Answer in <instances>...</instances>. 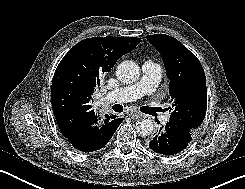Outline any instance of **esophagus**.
Segmentation results:
<instances>
[{
	"mask_svg": "<svg viewBox=\"0 0 245 189\" xmlns=\"http://www.w3.org/2000/svg\"><path fill=\"white\" fill-rule=\"evenodd\" d=\"M129 117L133 120H136L141 117V114L138 111L132 110L128 113Z\"/></svg>",
	"mask_w": 245,
	"mask_h": 189,
	"instance_id": "1",
	"label": "esophagus"
}]
</instances>
